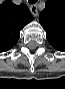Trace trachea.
<instances>
[{
    "label": "trachea",
    "mask_w": 65,
    "mask_h": 89,
    "mask_svg": "<svg viewBox=\"0 0 65 89\" xmlns=\"http://www.w3.org/2000/svg\"><path fill=\"white\" fill-rule=\"evenodd\" d=\"M37 2V0H28L29 4H35Z\"/></svg>",
    "instance_id": "obj_1"
}]
</instances>
